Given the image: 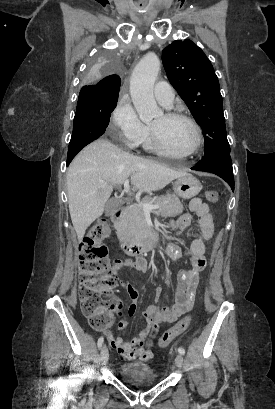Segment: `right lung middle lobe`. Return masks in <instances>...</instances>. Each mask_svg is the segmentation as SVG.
Returning a JSON list of instances; mask_svg holds the SVG:
<instances>
[{"instance_id": "right-lung-middle-lobe-1", "label": "right lung middle lobe", "mask_w": 275, "mask_h": 409, "mask_svg": "<svg viewBox=\"0 0 275 409\" xmlns=\"http://www.w3.org/2000/svg\"><path fill=\"white\" fill-rule=\"evenodd\" d=\"M121 58L117 50H94L90 57L83 85H100L108 73H119ZM117 98H97L79 95L72 137L68 147L67 166L86 145L100 137L106 130Z\"/></svg>"}]
</instances>
